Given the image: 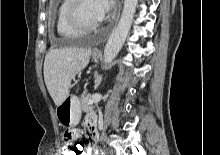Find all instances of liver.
<instances>
[{
  "label": "liver",
  "instance_id": "1",
  "mask_svg": "<svg viewBox=\"0 0 220 155\" xmlns=\"http://www.w3.org/2000/svg\"><path fill=\"white\" fill-rule=\"evenodd\" d=\"M91 49L54 48L44 61V80L48 92L56 106L69 93L71 80L89 63Z\"/></svg>",
  "mask_w": 220,
  "mask_h": 155
}]
</instances>
